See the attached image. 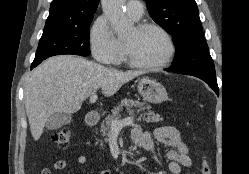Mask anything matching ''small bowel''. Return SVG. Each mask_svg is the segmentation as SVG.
<instances>
[{
  "label": "small bowel",
  "instance_id": "1",
  "mask_svg": "<svg viewBox=\"0 0 249 174\" xmlns=\"http://www.w3.org/2000/svg\"><path fill=\"white\" fill-rule=\"evenodd\" d=\"M154 139L166 147V158L169 164L162 173L180 174L182 167H191L193 160L189 154L186 143L182 140L179 131L173 126H162L157 128L153 133ZM134 142L143 150H145L153 159V161L162 166L160 158L157 156L154 148V140L149 132L143 131L140 126H135L132 131ZM88 161L85 155L76 157V162L80 165L86 164ZM69 166L68 161L58 160L53 163L52 169L45 168L41 174H54V171L64 170ZM159 173V174H162ZM100 174H111L110 169H105Z\"/></svg>",
  "mask_w": 249,
  "mask_h": 174
}]
</instances>
